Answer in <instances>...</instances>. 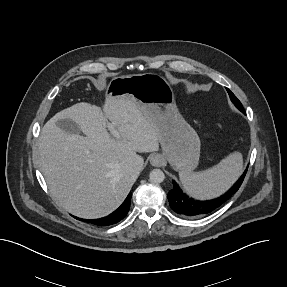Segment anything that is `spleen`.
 I'll use <instances>...</instances> for the list:
<instances>
[{
    "label": "spleen",
    "mask_w": 287,
    "mask_h": 287,
    "mask_svg": "<svg viewBox=\"0 0 287 287\" xmlns=\"http://www.w3.org/2000/svg\"><path fill=\"white\" fill-rule=\"evenodd\" d=\"M243 170V157L234 152L217 165L199 172H180V181L188 194L206 200L220 196L240 177Z\"/></svg>",
    "instance_id": "1"
}]
</instances>
